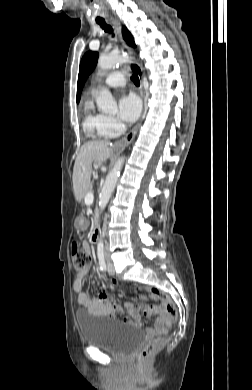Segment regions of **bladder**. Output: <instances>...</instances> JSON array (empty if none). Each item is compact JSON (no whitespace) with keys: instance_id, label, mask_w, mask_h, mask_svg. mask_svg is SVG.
I'll return each mask as SVG.
<instances>
[{"instance_id":"obj_1","label":"bladder","mask_w":252,"mask_h":390,"mask_svg":"<svg viewBox=\"0 0 252 390\" xmlns=\"http://www.w3.org/2000/svg\"><path fill=\"white\" fill-rule=\"evenodd\" d=\"M83 341L115 354H125L144 340L135 327L99 315L77 314Z\"/></svg>"}]
</instances>
